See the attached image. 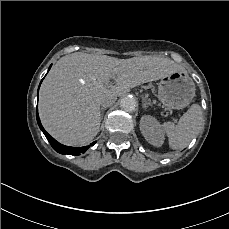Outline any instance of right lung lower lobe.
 <instances>
[{
    "label": "right lung lower lobe",
    "instance_id": "right-lung-lower-lobe-1",
    "mask_svg": "<svg viewBox=\"0 0 229 229\" xmlns=\"http://www.w3.org/2000/svg\"><path fill=\"white\" fill-rule=\"evenodd\" d=\"M51 66L49 67L50 70ZM42 82V81H41ZM40 87V85H39ZM36 117H37V122L38 125L40 127V129L42 130V132L44 133V135L46 136L47 140L49 141V143L51 144V146L53 147V149L55 151H57L60 154H69V155H80L81 153H85V151L90 147V146H84V147H70V146H65L60 144L59 142H57L53 137H51L43 128L40 119H39V115H38V109L36 110ZM96 142L91 143L90 145L93 146Z\"/></svg>",
    "mask_w": 229,
    "mask_h": 229
}]
</instances>
